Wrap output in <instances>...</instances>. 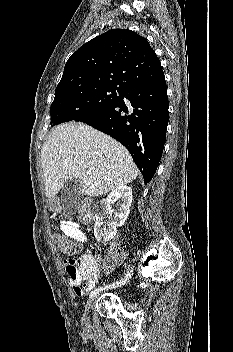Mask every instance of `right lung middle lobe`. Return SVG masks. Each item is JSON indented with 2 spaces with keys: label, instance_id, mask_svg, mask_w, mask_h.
Listing matches in <instances>:
<instances>
[{
  "label": "right lung middle lobe",
  "instance_id": "right-lung-middle-lobe-1",
  "mask_svg": "<svg viewBox=\"0 0 233 352\" xmlns=\"http://www.w3.org/2000/svg\"><path fill=\"white\" fill-rule=\"evenodd\" d=\"M127 90L116 85L83 87L55 95L51 104V125L96 114L125 96Z\"/></svg>",
  "mask_w": 233,
  "mask_h": 352
}]
</instances>
